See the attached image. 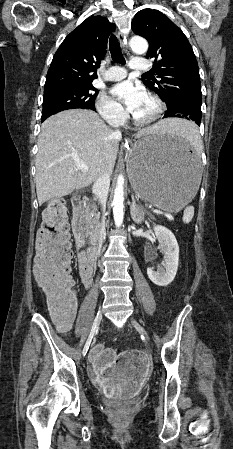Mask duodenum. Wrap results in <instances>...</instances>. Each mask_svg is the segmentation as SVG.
Returning <instances> with one entry per match:
<instances>
[{
	"label": "duodenum",
	"mask_w": 233,
	"mask_h": 449,
	"mask_svg": "<svg viewBox=\"0 0 233 449\" xmlns=\"http://www.w3.org/2000/svg\"><path fill=\"white\" fill-rule=\"evenodd\" d=\"M73 228L76 236V242L79 247L85 243L88 237V226L86 216L83 212V199L75 197L73 199ZM98 259V249L90 247L80 252L78 257L79 272H92Z\"/></svg>",
	"instance_id": "1"
}]
</instances>
